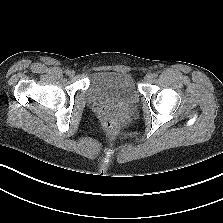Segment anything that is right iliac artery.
<instances>
[{
  "label": "right iliac artery",
  "mask_w": 223,
  "mask_h": 223,
  "mask_svg": "<svg viewBox=\"0 0 223 223\" xmlns=\"http://www.w3.org/2000/svg\"><path fill=\"white\" fill-rule=\"evenodd\" d=\"M69 72H70V70H68V69H67V70H65V73H66V74H69Z\"/></svg>",
  "instance_id": "1"
}]
</instances>
